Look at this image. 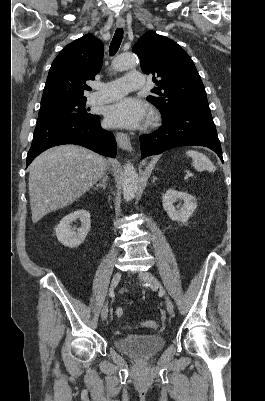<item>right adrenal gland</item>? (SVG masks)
Masks as SVG:
<instances>
[{
	"label": "right adrenal gland",
	"mask_w": 265,
	"mask_h": 401,
	"mask_svg": "<svg viewBox=\"0 0 265 401\" xmlns=\"http://www.w3.org/2000/svg\"><path fill=\"white\" fill-rule=\"evenodd\" d=\"M107 180H108V176H103V178H101L100 182H98V184H95L94 190H98L99 186H102V188H106Z\"/></svg>",
	"instance_id": "right-adrenal-gland-1"
}]
</instances>
